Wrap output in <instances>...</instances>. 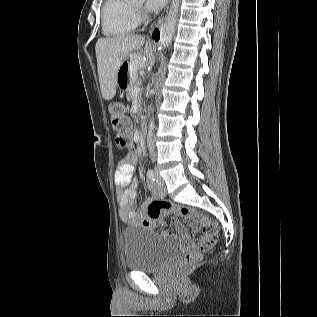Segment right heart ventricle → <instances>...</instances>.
I'll return each mask as SVG.
<instances>
[{"instance_id":"obj_1","label":"right heart ventricle","mask_w":317,"mask_h":317,"mask_svg":"<svg viewBox=\"0 0 317 317\" xmlns=\"http://www.w3.org/2000/svg\"><path fill=\"white\" fill-rule=\"evenodd\" d=\"M138 17L129 0H105L102 6V30L108 37L126 35L135 30Z\"/></svg>"}]
</instances>
